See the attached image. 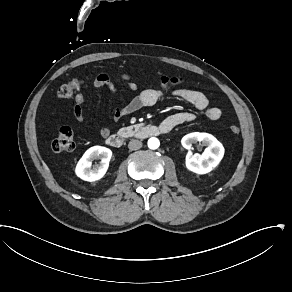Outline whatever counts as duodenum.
Segmentation results:
<instances>
[{"instance_id": "1", "label": "duodenum", "mask_w": 292, "mask_h": 292, "mask_svg": "<svg viewBox=\"0 0 292 292\" xmlns=\"http://www.w3.org/2000/svg\"><path fill=\"white\" fill-rule=\"evenodd\" d=\"M171 130L172 128L169 125L159 127L147 126L141 127L138 132H136L135 136L138 139H145L151 136L169 133ZM106 142L113 148H120L123 144V139L119 134L114 133L107 136Z\"/></svg>"}]
</instances>
